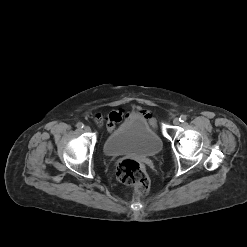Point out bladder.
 Instances as JSON below:
<instances>
[{"label":"bladder","mask_w":247,"mask_h":247,"mask_svg":"<svg viewBox=\"0 0 247 247\" xmlns=\"http://www.w3.org/2000/svg\"><path fill=\"white\" fill-rule=\"evenodd\" d=\"M162 149V140L146 118L135 113L125 119L104 141L107 156L138 155L151 157Z\"/></svg>","instance_id":"bladder-1"}]
</instances>
